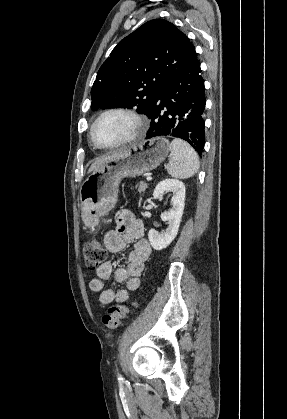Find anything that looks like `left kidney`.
Returning a JSON list of instances; mask_svg holds the SVG:
<instances>
[{
  "instance_id": "left-kidney-1",
  "label": "left kidney",
  "mask_w": 287,
  "mask_h": 419,
  "mask_svg": "<svg viewBox=\"0 0 287 419\" xmlns=\"http://www.w3.org/2000/svg\"><path fill=\"white\" fill-rule=\"evenodd\" d=\"M166 192L173 193L172 208L161 214V219L166 221L168 228L165 232L159 233L150 229L148 239L155 250H162L170 245L175 239L180 226L185 206V185L177 179H165L159 182L153 192L154 199L161 198Z\"/></svg>"
}]
</instances>
